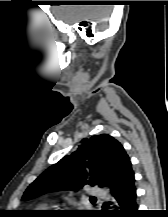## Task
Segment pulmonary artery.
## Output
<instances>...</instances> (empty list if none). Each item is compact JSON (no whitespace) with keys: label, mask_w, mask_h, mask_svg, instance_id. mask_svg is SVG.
Masks as SVG:
<instances>
[{"label":"pulmonary artery","mask_w":168,"mask_h":217,"mask_svg":"<svg viewBox=\"0 0 168 217\" xmlns=\"http://www.w3.org/2000/svg\"><path fill=\"white\" fill-rule=\"evenodd\" d=\"M89 194L94 197H100V198L106 197V193L103 190L95 187L90 188Z\"/></svg>","instance_id":"obj_1"}]
</instances>
